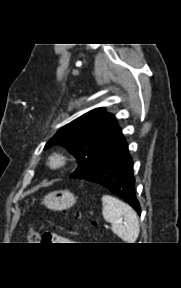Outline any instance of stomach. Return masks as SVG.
<instances>
[{"mask_svg":"<svg viewBox=\"0 0 181 288\" xmlns=\"http://www.w3.org/2000/svg\"><path fill=\"white\" fill-rule=\"evenodd\" d=\"M76 202L73 193L66 190L53 191L43 199V204L51 210L62 211L72 207Z\"/></svg>","mask_w":181,"mask_h":288,"instance_id":"stomach-1","label":"stomach"}]
</instances>
